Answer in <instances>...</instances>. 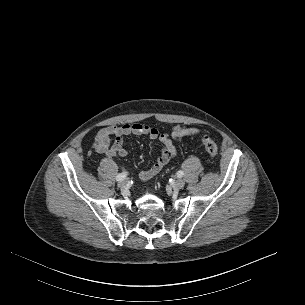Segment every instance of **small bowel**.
Wrapping results in <instances>:
<instances>
[{
  "mask_svg": "<svg viewBox=\"0 0 305 305\" xmlns=\"http://www.w3.org/2000/svg\"><path fill=\"white\" fill-rule=\"evenodd\" d=\"M199 130L186 125H173L170 134L160 133L157 128L145 124L133 123L121 126L110 125L99 130L95 137V148L107 157H127L128 151L123 147V139L128 135H146L157 139L161 145L160 155L153 165L141 171L142 180H149L158 174L176 155L172 139L181 141L198 134ZM112 138L114 139L111 143Z\"/></svg>",
  "mask_w": 305,
  "mask_h": 305,
  "instance_id": "c3829d8e",
  "label": "small bowel"
}]
</instances>
